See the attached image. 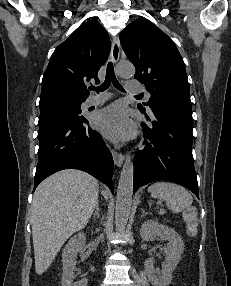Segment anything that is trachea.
<instances>
[{"label":"trachea","mask_w":231,"mask_h":286,"mask_svg":"<svg viewBox=\"0 0 231 286\" xmlns=\"http://www.w3.org/2000/svg\"><path fill=\"white\" fill-rule=\"evenodd\" d=\"M111 82L113 83L114 87L122 92H124V88L122 87V85L118 82V80L116 79L115 76V72H114V67H113V63L109 62L107 64V69H106V78L104 83H102L99 87H90V90H95V91H105L106 89L109 88ZM140 96V95H139Z\"/></svg>","instance_id":"1"}]
</instances>
